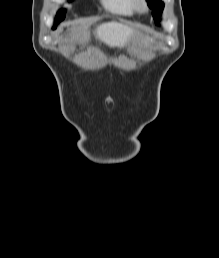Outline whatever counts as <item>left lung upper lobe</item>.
<instances>
[{
    "label": "left lung upper lobe",
    "mask_w": 219,
    "mask_h": 258,
    "mask_svg": "<svg viewBox=\"0 0 219 258\" xmlns=\"http://www.w3.org/2000/svg\"><path fill=\"white\" fill-rule=\"evenodd\" d=\"M148 5L152 8L153 17L157 20L160 18L164 9V3L161 0H147Z\"/></svg>",
    "instance_id": "obj_1"
}]
</instances>
